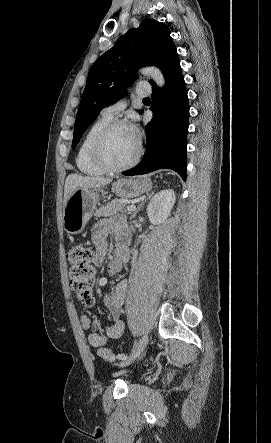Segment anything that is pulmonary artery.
Wrapping results in <instances>:
<instances>
[{
  "label": "pulmonary artery",
  "mask_w": 271,
  "mask_h": 443,
  "mask_svg": "<svg viewBox=\"0 0 271 443\" xmlns=\"http://www.w3.org/2000/svg\"><path fill=\"white\" fill-rule=\"evenodd\" d=\"M137 94L140 95V96H145V95L148 94V92H144V91L138 90ZM124 106H125L124 102L120 101V102H118L116 104H113V105H110L108 107H105L102 110L101 113H102V115H110V116H112L115 113H117L118 111H120L121 109H123Z\"/></svg>",
  "instance_id": "pulmonary-artery-1"
}]
</instances>
